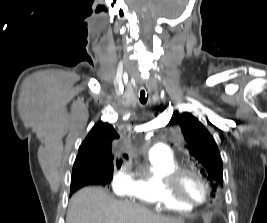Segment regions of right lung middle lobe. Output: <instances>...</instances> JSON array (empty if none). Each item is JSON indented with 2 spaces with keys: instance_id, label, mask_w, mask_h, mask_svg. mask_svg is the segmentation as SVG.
<instances>
[{
  "instance_id": "right-lung-middle-lobe-1",
  "label": "right lung middle lobe",
  "mask_w": 267,
  "mask_h": 223,
  "mask_svg": "<svg viewBox=\"0 0 267 223\" xmlns=\"http://www.w3.org/2000/svg\"><path fill=\"white\" fill-rule=\"evenodd\" d=\"M105 174V176L107 177V178H111L112 179V177H113V166L112 167H109V168H107V169H105V172H104ZM73 176V175H72Z\"/></svg>"
}]
</instances>
